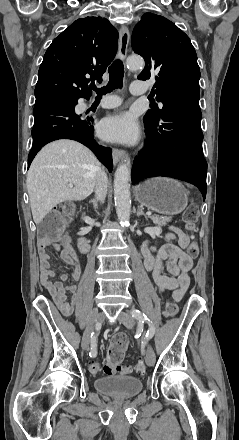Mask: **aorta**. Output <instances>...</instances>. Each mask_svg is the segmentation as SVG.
I'll return each mask as SVG.
<instances>
[{
  "label": "aorta",
  "instance_id": "762f6f07",
  "mask_svg": "<svg viewBox=\"0 0 239 440\" xmlns=\"http://www.w3.org/2000/svg\"><path fill=\"white\" fill-rule=\"evenodd\" d=\"M129 70H137L144 66L141 56H130L126 62ZM131 164L129 160H123L118 166L114 178V200L116 214L121 224H128L131 214L130 178Z\"/></svg>",
  "mask_w": 239,
  "mask_h": 440
}]
</instances>
